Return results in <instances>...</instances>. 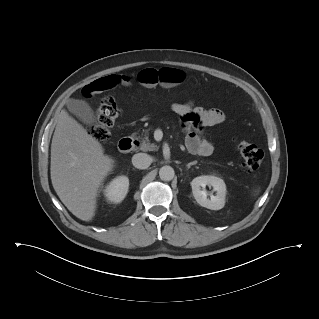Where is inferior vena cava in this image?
I'll return each instance as SVG.
<instances>
[{"instance_id": "1", "label": "inferior vena cava", "mask_w": 319, "mask_h": 319, "mask_svg": "<svg viewBox=\"0 0 319 319\" xmlns=\"http://www.w3.org/2000/svg\"><path fill=\"white\" fill-rule=\"evenodd\" d=\"M132 164L138 169H146L151 164V158L146 153H137L132 157Z\"/></svg>"}]
</instances>
